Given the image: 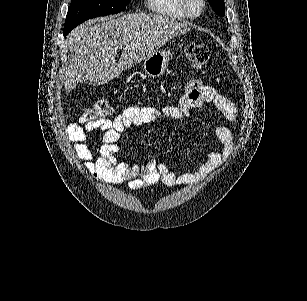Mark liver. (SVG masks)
<instances>
[{"mask_svg": "<svg viewBox=\"0 0 307 301\" xmlns=\"http://www.w3.org/2000/svg\"><path fill=\"white\" fill-rule=\"evenodd\" d=\"M191 22L162 14L130 12L118 18H93L76 26L67 36L69 64L64 76L65 92L78 82L106 84L156 52L177 34L190 32ZM128 46V48H125ZM118 48H122L116 62Z\"/></svg>", "mask_w": 307, "mask_h": 301, "instance_id": "liver-1", "label": "liver"}]
</instances>
